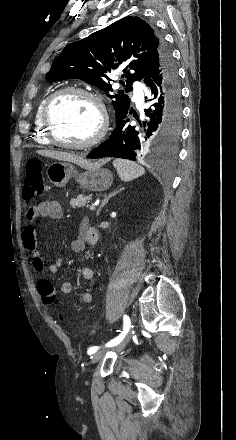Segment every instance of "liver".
I'll list each match as a JSON object with an SVG mask.
<instances>
[{"instance_id": "liver-1", "label": "liver", "mask_w": 236, "mask_h": 440, "mask_svg": "<svg viewBox=\"0 0 236 440\" xmlns=\"http://www.w3.org/2000/svg\"><path fill=\"white\" fill-rule=\"evenodd\" d=\"M37 153L56 160L72 162L84 168L99 167L104 163L103 160L96 163H91L78 155L61 151L38 150Z\"/></svg>"}]
</instances>
